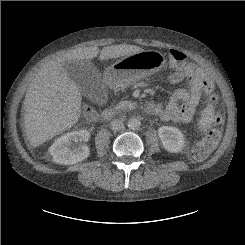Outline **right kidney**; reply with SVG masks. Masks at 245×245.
Segmentation results:
<instances>
[{"label": "right kidney", "mask_w": 245, "mask_h": 245, "mask_svg": "<svg viewBox=\"0 0 245 245\" xmlns=\"http://www.w3.org/2000/svg\"><path fill=\"white\" fill-rule=\"evenodd\" d=\"M89 138L90 133L87 130H79L67 133L55 140L49 148L54 162L70 165L86 159L90 154V149L84 142H87ZM73 143L80 144L77 147H72Z\"/></svg>", "instance_id": "1"}]
</instances>
